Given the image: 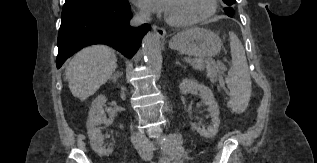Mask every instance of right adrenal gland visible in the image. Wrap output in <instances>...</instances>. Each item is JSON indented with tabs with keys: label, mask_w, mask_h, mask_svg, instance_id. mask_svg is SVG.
I'll return each mask as SVG.
<instances>
[{
	"label": "right adrenal gland",
	"mask_w": 317,
	"mask_h": 163,
	"mask_svg": "<svg viewBox=\"0 0 317 163\" xmlns=\"http://www.w3.org/2000/svg\"><path fill=\"white\" fill-rule=\"evenodd\" d=\"M122 76V72L116 71L113 75L109 78V80L113 81L114 83L117 82L118 78Z\"/></svg>",
	"instance_id": "obj_1"
}]
</instances>
